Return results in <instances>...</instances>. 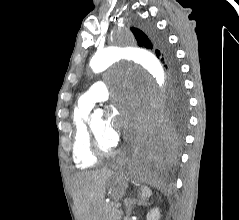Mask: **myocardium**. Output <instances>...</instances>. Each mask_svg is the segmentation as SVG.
Here are the masks:
<instances>
[{
    "label": "myocardium",
    "mask_w": 239,
    "mask_h": 220,
    "mask_svg": "<svg viewBox=\"0 0 239 220\" xmlns=\"http://www.w3.org/2000/svg\"><path fill=\"white\" fill-rule=\"evenodd\" d=\"M88 135H89L90 149L93 155L96 156L97 158L109 157L114 155L117 152L116 145H114L113 147L109 149L102 147L96 134L93 131L91 123L88 124Z\"/></svg>",
    "instance_id": "myocardium-1"
}]
</instances>
